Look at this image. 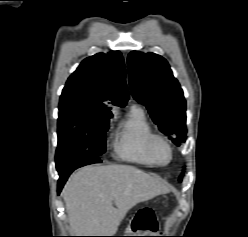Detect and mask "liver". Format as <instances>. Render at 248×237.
I'll list each match as a JSON object with an SVG mask.
<instances>
[{"label": "liver", "mask_w": 248, "mask_h": 237, "mask_svg": "<svg viewBox=\"0 0 248 237\" xmlns=\"http://www.w3.org/2000/svg\"><path fill=\"white\" fill-rule=\"evenodd\" d=\"M165 192L160 180L142 170L107 165L87 166L72 174L62 196L72 234L113 236L132 207Z\"/></svg>", "instance_id": "6515ba94"}]
</instances>
